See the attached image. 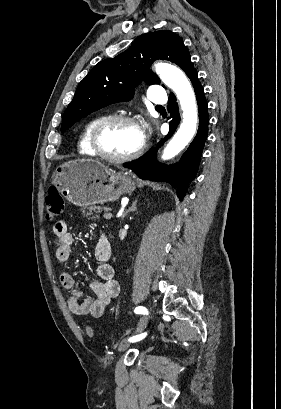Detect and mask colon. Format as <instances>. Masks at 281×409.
I'll return each instance as SVG.
<instances>
[{
    "label": "colon",
    "mask_w": 281,
    "mask_h": 409,
    "mask_svg": "<svg viewBox=\"0 0 281 409\" xmlns=\"http://www.w3.org/2000/svg\"><path fill=\"white\" fill-rule=\"evenodd\" d=\"M45 202L47 206V212H46L47 219L49 220L57 219L61 215L64 209V202L62 198L60 197L58 191L56 189H52L46 195ZM85 333L87 335H91L93 333V330L91 328H87L85 330Z\"/></svg>",
    "instance_id": "obj_1"
}]
</instances>
